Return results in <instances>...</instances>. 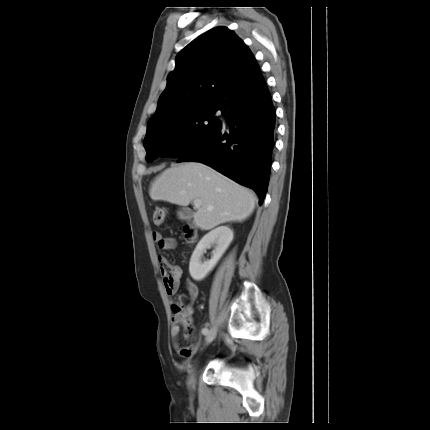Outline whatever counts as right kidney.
Instances as JSON below:
<instances>
[{
	"instance_id": "right-kidney-1",
	"label": "right kidney",
	"mask_w": 430,
	"mask_h": 430,
	"mask_svg": "<svg viewBox=\"0 0 430 430\" xmlns=\"http://www.w3.org/2000/svg\"><path fill=\"white\" fill-rule=\"evenodd\" d=\"M232 240L233 231L227 226L217 227L202 237L193 251L189 263V273L193 280L201 281L212 271ZM214 244L216 246L213 251V257L209 261L202 262L204 250Z\"/></svg>"
}]
</instances>
